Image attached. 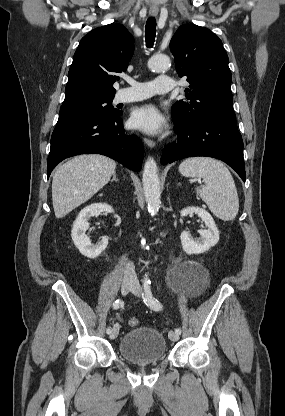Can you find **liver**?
<instances>
[{
	"mask_svg": "<svg viewBox=\"0 0 285 416\" xmlns=\"http://www.w3.org/2000/svg\"><path fill=\"white\" fill-rule=\"evenodd\" d=\"M115 168L114 160L99 154L76 156L60 166L52 180V204L56 218H64L90 200L110 182Z\"/></svg>",
	"mask_w": 285,
	"mask_h": 416,
	"instance_id": "1",
	"label": "liver"
}]
</instances>
